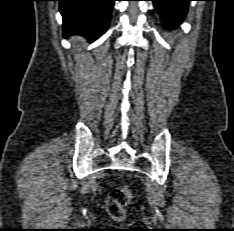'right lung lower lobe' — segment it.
Instances as JSON below:
<instances>
[{
  "instance_id": "1",
  "label": "right lung lower lobe",
  "mask_w": 234,
  "mask_h": 231,
  "mask_svg": "<svg viewBox=\"0 0 234 231\" xmlns=\"http://www.w3.org/2000/svg\"><path fill=\"white\" fill-rule=\"evenodd\" d=\"M65 36L81 34L99 38L108 28L115 0H58Z\"/></svg>"
}]
</instances>
